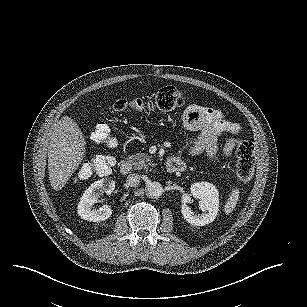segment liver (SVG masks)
Wrapping results in <instances>:
<instances>
[{
	"mask_svg": "<svg viewBox=\"0 0 307 307\" xmlns=\"http://www.w3.org/2000/svg\"><path fill=\"white\" fill-rule=\"evenodd\" d=\"M85 142L77 124L62 117L56 124L48 145V172L51 187L60 190L79 165Z\"/></svg>",
	"mask_w": 307,
	"mask_h": 307,
	"instance_id": "6515ba94",
	"label": "liver"
}]
</instances>
